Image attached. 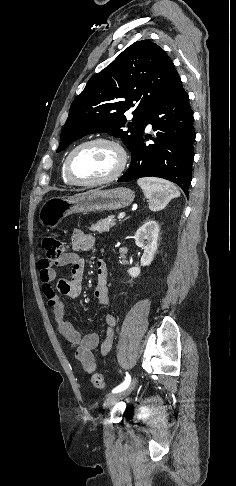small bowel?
<instances>
[{"instance_id":"obj_1","label":"small bowel","mask_w":236,"mask_h":486,"mask_svg":"<svg viewBox=\"0 0 236 486\" xmlns=\"http://www.w3.org/2000/svg\"><path fill=\"white\" fill-rule=\"evenodd\" d=\"M95 245V238L81 229L74 230L71 239L73 252L63 254L57 261L51 262L43 259L40 263V280L42 291L47 298V304L51 309L55 322L57 323L60 334L68 341L74 349L76 361L81 365L84 372L90 374L97 368L96 359L93 351L100 347L102 356H106L113 342V328L116 318L113 314L105 315V339L100 342L99 335L95 332L82 335L75 329L71 322L65 319V305L61 296L75 299L80 296L82 291V280L85 270V261L77 252L89 251ZM71 267V277L69 279L57 278L54 267ZM97 284L94 289V296L98 304L107 307L110 303L107 278L108 270L103 260H98L96 264ZM56 281V288L52 282Z\"/></svg>"}]
</instances>
